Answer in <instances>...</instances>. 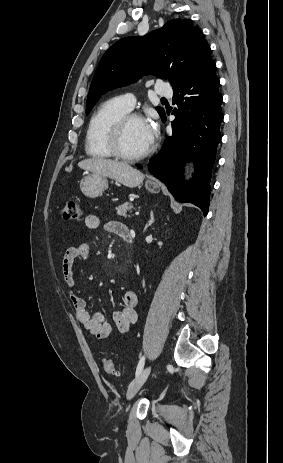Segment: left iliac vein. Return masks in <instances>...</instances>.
I'll list each match as a JSON object with an SVG mask.
<instances>
[{
    "label": "left iliac vein",
    "instance_id": "4c4485c4",
    "mask_svg": "<svg viewBox=\"0 0 283 463\" xmlns=\"http://www.w3.org/2000/svg\"><path fill=\"white\" fill-rule=\"evenodd\" d=\"M151 372V366L144 368L138 376L130 383L127 390V399H131L140 390Z\"/></svg>",
    "mask_w": 283,
    "mask_h": 463
}]
</instances>
